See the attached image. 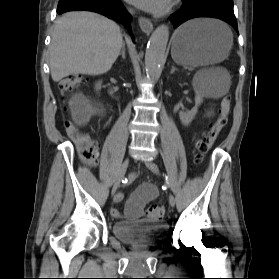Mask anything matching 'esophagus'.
Segmentation results:
<instances>
[{
	"mask_svg": "<svg viewBox=\"0 0 279 279\" xmlns=\"http://www.w3.org/2000/svg\"><path fill=\"white\" fill-rule=\"evenodd\" d=\"M138 22H139V26L141 28V30L144 32V33H151L152 30H153V24L151 23V21L148 19V18H145V17H140L138 19Z\"/></svg>",
	"mask_w": 279,
	"mask_h": 279,
	"instance_id": "1",
	"label": "esophagus"
}]
</instances>
